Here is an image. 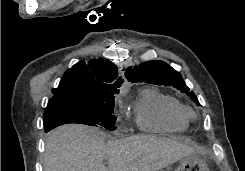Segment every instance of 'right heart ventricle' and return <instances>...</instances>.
<instances>
[{"instance_id":"1","label":"right heart ventricle","mask_w":245,"mask_h":171,"mask_svg":"<svg viewBox=\"0 0 245 171\" xmlns=\"http://www.w3.org/2000/svg\"><path fill=\"white\" fill-rule=\"evenodd\" d=\"M185 107L174 97L155 88H145L135 105V121L147 133H173L188 127Z\"/></svg>"}]
</instances>
